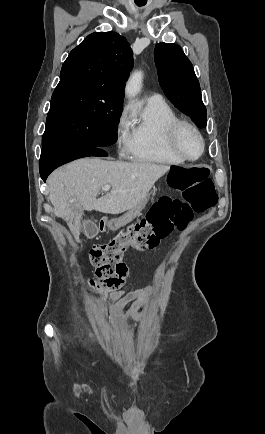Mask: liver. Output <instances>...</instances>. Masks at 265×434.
Listing matches in <instances>:
<instances>
[{
	"label": "liver",
	"instance_id": "liver-1",
	"mask_svg": "<svg viewBox=\"0 0 265 434\" xmlns=\"http://www.w3.org/2000/svg\"><path fill=\"white\" fill-rule=\"evenodd\" d=\"M169 170L170 166L149 162L129 164L83 158L52 172L47 180L49 200L55 216L66 220L75 240H79L84 210L103 214H122L131 210ZM103 186H112V190L96 200ZM69 200L76 202L70 204Z\"/></svg>",
	"mask_w": 265,
	"mask_h": 434
}]
</instances>
